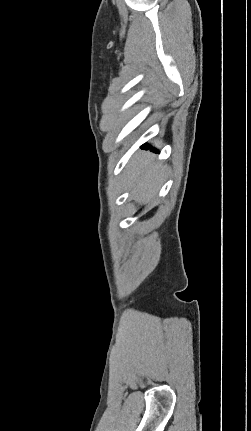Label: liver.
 Instances as JSON below:
<instances>
[{
    "label": "liver",
    "mask_w": 251,
    "mask_h": 431,
    "mask_svg": "<svg viewBox=\"0 0 251 431\" xmlns=\"http://www.w3.org/2000/svg\"><path fill=\"white\" fill-rule=\"evenodd\" d=\"M163 174L164 169L151 154L138 152L126 167L124 184L137 202L148 203L155 198Z\"/></svg>",
    "instance_id": "1"
}]
</instances>
